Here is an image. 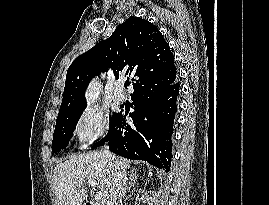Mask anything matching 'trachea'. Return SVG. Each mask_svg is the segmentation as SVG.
<instances>
[{
    "label": "trachea",
    "instance_id": "obj_1",
    "mask_svg": "<svg viewBox=\"0 0 269 205\" xmlns=\"http://www.w3.org/2000/svg\"><path fill=\"white\" fill-rule=\"evenodd\" d=\"M128 85H129L128 83H125V85H124V86H125V88H127V86H128Z\"/></svg>",
    "mask_w": 269,
    "mask_h": 205
}]
</instances>
